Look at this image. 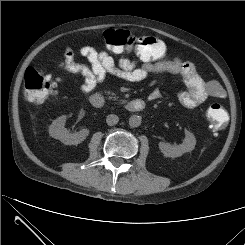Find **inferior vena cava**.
Masks as SVG:
<instances>
[{"mask_svg": "<svg viewBox=\"0 0 245 245\" xmlns=\"http://www.w3.org/2000/svg\"><path fill=\"white\" fill-rule=\"evenodd\" d=\"M118 121H119V117L117 115H115V114H110L106 118V123L109 126H113V125L117 124Z\"/></svg>", "mask_w": 245, "mask_h": 245, "instance_id": "602c4592", "label": "inferior vena cava"}]
</instances>
